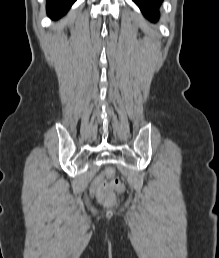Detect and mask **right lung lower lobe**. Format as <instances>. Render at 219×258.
<instances>
[{
    "label": "right lung lower lobe",
    "instance_id": "obj_1",
    "mask_svg": "<svg viewBox=\"0 0 219 258\" xmlns=\"http://www.w3.org/2000/svg\"><path fill=\"white\" fill-rule=\"evenodd\" d=\"M76 0H47V13L52 19L63 16Z\"/></svg>",
    "mask_w": 219,
    "mask_h": 258
}]
</instances>
